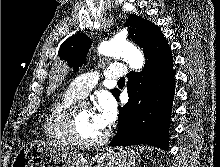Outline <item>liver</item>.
I'll return each mask as SVG.
<instances>
[{"instance_id":"6515ba94","label":"liver","mask_w":220,"mask_h":167,"mask_svg":"<svg viewBox=\"0 0 220 167\" xmlns=\"http://www.w3.org/2000/svg\"><path fill=\"white\" fill-rule=\"evenodd\" d=\"M34 142H36V143L40 142V143H44V144H49V145H51V142H45V141H34Z\"/></svg>"}]
</instances>
